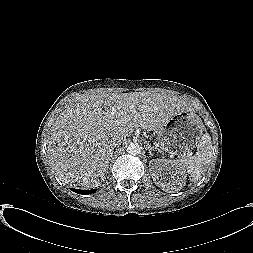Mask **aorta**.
I'll return each mask as SVG.
<instances>
[{
	"label": "aorta",
	"mask_w": 253,
	"mask_h": 253,
	"mask_svg": "<svg viewBox=\"0 0 253 253\" xmlns=\"http://www.w3.org/2000/svg\"><path fill=\"white\" fill-rule=\"evenodd\" d=\"M127 153L136 155L140 153V146L138 143H130L126 148Z\"/></svg>",
	"instance_id": "762f6f07"
}]
</instances>
